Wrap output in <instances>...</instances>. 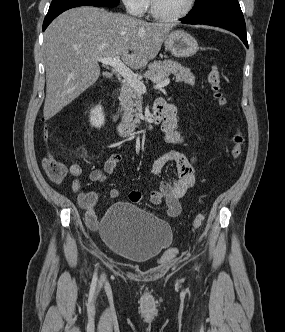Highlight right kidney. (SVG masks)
Here are the masks:
<instances>
[{
  "label": "right kidney",
  "instance_id": "right-kidney-1",
  "mask_svg": "<svg viewBox=\"0 0 285 332\" xmlns=\"http://www.w3.org/2000/svg\"><path fill=\"white\" fill-rule=\"evenodd\" d=\"M105 123V116L101 105L95 106L90 112V124L93 127L100 128Z\"/></svg>",
  "mask_w": 285,
  "mask_h": 332
}]
</instances>
